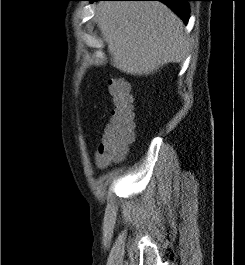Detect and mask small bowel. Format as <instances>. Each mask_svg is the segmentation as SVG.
<instances>
[{
	"instance_id": "1",
	"label": "small bowel",
	"mask_w": 245,
	"mask_h": 265,
	"mask_svg": "<svg viewBox=\"0 0 245 265\" xmlns=\"http://www.w3.org/2000/svg\"><path fill=\"white\" fill-rule=\"evenodd\" d=\"M96 162H97V164H98L99 166H101V167H103V166L106 165V164H104V163H101V162L97 159V157H96Z\"/></svg>"
}]
</instances>
